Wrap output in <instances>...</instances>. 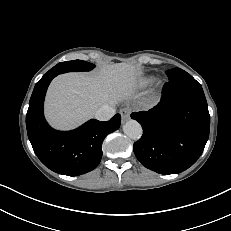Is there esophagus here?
Here are the masks:
<instances>
[{"instance_id":"1","label":"esophagus","mask_w":231,"mask_h":231,"mask_svg":"<svg viewBox=\"0 0 231 231\" xmlns=\"http://www.w3.org/2000/svg\"><path fill=\"white\" fill-rule=\"evenodd\" d=\"M122 120L125 122L130 119L131 110L128 108L121 109L120 112Z\"/></svg>"}]
</instances>
